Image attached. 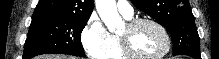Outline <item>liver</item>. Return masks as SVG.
<instances>
[{
	"mask_svg": "<svg viewBox=\"0 0 219 59\" xmlns=\"http://www.w3.org/2000/svg\"><path fill=\"white\" fill-rule=\"evenodd\" d=\"M36 59H76V58L71 56H65V55L48 54V55L38 56Z\"/></svg>",
	"mask_w": 219,
	"mask_h": 59,
	"instance_id": "obj_1",
	"label": "liver"
}]
</instances>
